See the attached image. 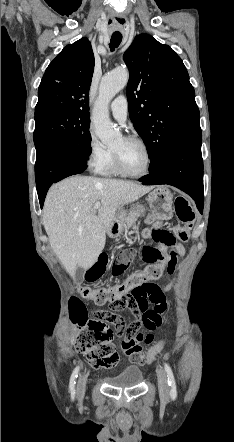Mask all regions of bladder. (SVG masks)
I'll return each instance as SVG.
<instances>
[{
  "label": "bladder",
  "mask_w": 234,
  "mask_h": 442,
  "mask_svg": "<svg viewBox=\"0 0 234 442\" xmlns=\"http://www.w3.org/2000/svg\"><path fill=\"white\" fill-rule=\"evenodd\" d=\"M143 378V373L138 366L129 365L116 376L105 379L106 383L113 387L129 388L137 386Z\"/></svg>",
  "instance_id": "bladder-1"
}]
</instances>
